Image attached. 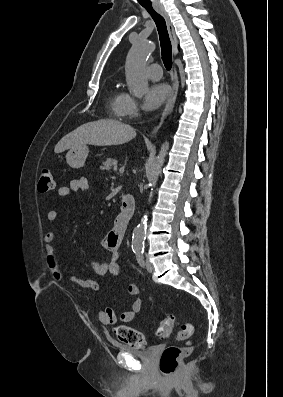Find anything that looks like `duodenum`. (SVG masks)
Masks as SVG:
<instances>
[{
  "label": "duodenum",
  "mask_w": 283,
  "mask_h": 397,
  "mask_svg": "<svg viewBox=\"0 0 283 397\" xmlns=\"http://www.w3.org/2000/svg\"><path fill=\"white\" fill-rule=\"evenodd\" d=\"M135 211V199L132 195L126 194L122 197L121 210L114 222V228L120 232L125 233L127 230L133 214Z\"/></svg>",
  "instance_id": "410a0bca"
}]
</instances>
